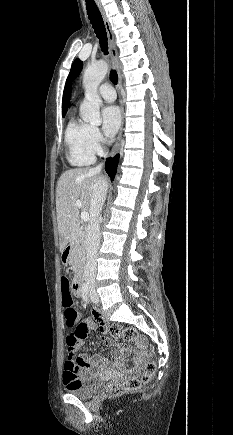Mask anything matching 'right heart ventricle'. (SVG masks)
I'll list each match as a JSON object with an SVG mask.
<instances>
[{
	"instance_id": "1",
	"label": "right heart ventricle",
	"mask_w": 233,
	"mask_h": 435,
	"mask_svg": "<svg viewBox=\"0 0 233 435\" xmlns=\"http://www.w3.org/2000/svg\"><path fill=\"white\" fill-rule=\"evenodd\" d=\"M91 126L76 116H72L65 132L68 147V161L74 166H89L94 163L95 156L89 146Z\"/></svg>"
}]
</instances>
